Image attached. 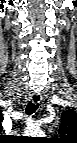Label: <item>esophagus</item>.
Returning <instances> with one entry per match:
<instances>
[{
	"label": "esophagus",
	"instance_id": "34e87169",
	"mask_svg": "<svg viewBox=\"0 0 77 143\" xmlns=\"http://www.w3.org/2000/svg\"><path fill=\"white\" fill-rule=\"evenodd\" d=\"M41 99H42V97H41L40 94L33 93V94L30 95V100L34 104L40 103Z\"/></svg>",
	"mask_w": 77,
	"mask_h": 143
}]
</instances>
